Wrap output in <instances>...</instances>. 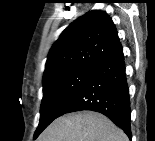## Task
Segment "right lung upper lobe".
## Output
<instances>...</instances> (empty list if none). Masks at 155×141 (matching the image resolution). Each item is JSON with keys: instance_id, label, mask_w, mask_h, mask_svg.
Wrapping results in <instances>:
<instances>
[{"instance_id": "obj_1", "label": "right lung upper lobe", "mask_w": 155, "mask_h": 141, "mask_svg": "<svg viewBox=\"0 0 155 141\" xmlns=\"http://www.w3.org/2000/svg\"><path fill=\"white\" fill-rule=\"evenodd\" d=\"M107 13L94 10L72 22L50 49L43 80L74 68H94L118 44Z\"/></svg>"}]
</instances>
